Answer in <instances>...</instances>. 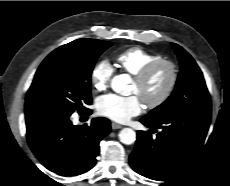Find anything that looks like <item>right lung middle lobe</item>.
<instances>
[{
	"mask_svg": "<svg viewBox=\"0 0 230 186\" xmlns=\"http://www.w3.org/2000/svg\"><path fill=\"white\" fill-rule=\"evenodd\" d=\"M111 45L110 42L84 38L50 53L38 68L27 92L25 113L83 111L92 101L91 74L96 59Z\"/></svg>",
	"mask_w": 230,
	"mask_h": 186,
	"instance_id": "right-lung-middle-lobe-1",
	"label": "right lung middle lobe"
}]
</instances>
